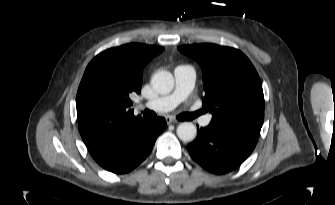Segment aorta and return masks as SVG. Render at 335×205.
Instances as JSON below:
<instances>
[{"label": "aorta", "mask_w": 335, "mask_h": 205, "mask_svg": "<svg viewBox=\"0 0 335 205\" xmlns=\"http://www.w3.org/2000/svg\"><path fill=\"white\" fill-rule=\"evenodd\" d=\"M151 84L157 93L167 94L174 87V78L169 71H159L152 76ZM176 131L179 139L184 142L193 141L197 135L196 126L191 122L180 123Z\"/></svg>", "instance_id": "1"}]
</instances>
